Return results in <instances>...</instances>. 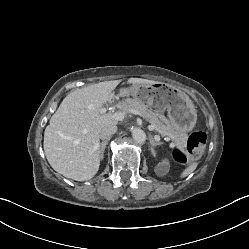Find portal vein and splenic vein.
Returning <instances> with one entry per match:
<instances>
[{"mask_svg": "<svg viewBox=\"0 0 249 249\" xmlns=\"http://www.w3.org/2000/svg\"><path fill=\"white\" fill-rule=\"evenodd\" d=\"M102 112H105V109L102 110ZM126 110L124 111H118L115 113H112V117L117 120V121H122L126 115ZM130 113L135 114V115H139L140 117L144 118L146 121H148L139 111L135 110V109H131ZM149 122V121H148ZM151 123V122H150ZM149 130H155L157 132H159L160 134H163L162 131H160L153 123H151V125H149ZM157 140H160V136L156 135L155 136Z\"/></svg>", "mask_w": 249, "mask_h": 249, "instance_id": "obj_1", "label": "portal vein and splenic vein"}]
</instances>
